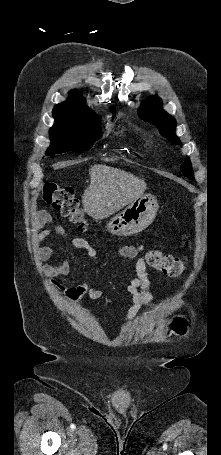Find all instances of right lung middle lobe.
Masks as SVG:
<instances>
[{
    "label": "right lung middle lobe",
    "mask_w": 221,
    "mask_h": 455,
    "mask_svg": "<svg viewBox=\"0 0 221 455\" xmlns=\"http://www.w3.org/2000/svg\"><path fill=\"white\" fill-rule=\"evenodd\" d=\"M49 132L51 146L46 153L50 156L67 151L88 150L101 137L98 116L84 122L55 119V125Z\"/></svg>",
    "instance_id": "dd1d6c3e"
}]
</instances>
